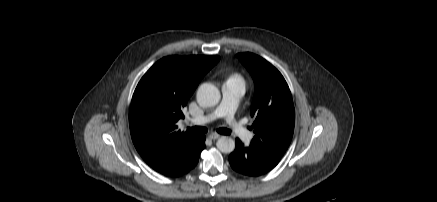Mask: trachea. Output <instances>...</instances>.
<instances>
[{
    "label": "trachea",
    "mask_w": 437,
    "mask_h": 202,
    "mask_svg": "<svg viewBox=\"0 0 437 202\" xmlns=\"http://www.w3.org/2000/svg\"><path fill=\"white\" fill-rule=\"evenodd\" d=\"M188 130L195 134H204L208 131L206 127H200V126L188 127ZM217 132L223 135L231 134V131L227 128H219L217 129Z\"/></svg>",
    "instance_id": "3493384b"
}]
</instances>
